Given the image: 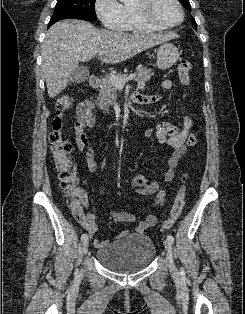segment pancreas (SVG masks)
Listing matches in <instances>:
<instances>
[{"label": "pancreas", "mask_w": 245, "mask_h": 314, "mask_svg": "<svg viewBox=\"0 0 245 314\" xmlns=\"http://www.w3.org/2000/svg\"><path fill=\"white\" fill-rule=\"evenodd\" d=\"M137 83L147 82L154 73L147 67L139 65L135 71ZM120 78H124L125 74L115 75ZM118 94V88L112 83L110 76L105 77L100 85L99 95L97 97V104L104 113H109V105L113 104L116 100Z\"/></svg>", "instance_id": "pancreas-1"}]
</instances>
